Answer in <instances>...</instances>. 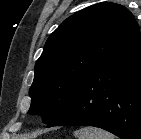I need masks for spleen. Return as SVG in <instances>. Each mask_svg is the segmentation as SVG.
Instances as JSON below:
<instances>
[{
    "label": "spleen",
    "instance_id": "3e777b00",
    "mask_svg": "<svg viewBox=\"0 0 141 139\" xmlns=\"http://www.w3.org/2000/svg\"><path fill=\"white\" fill-rule=\"evenodd\" d=\"M74 136L77 139H115L113 134L95 127H83L76 130Z\"/></svg>",
    "mask_w": 141,
    "mask_h": 139
}]
</instances>
